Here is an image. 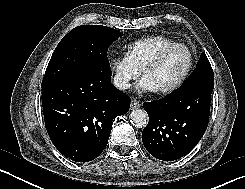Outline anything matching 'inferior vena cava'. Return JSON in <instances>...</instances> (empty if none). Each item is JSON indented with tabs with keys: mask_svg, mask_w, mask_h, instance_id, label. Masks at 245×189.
Returning <instances> with one entry per match:
<instances>
[{
	"mask_svg": "<svg viewBox=\"0 0 245 189\" xmlns=\"http://www.w3.org/2000/svg\"><path fill=\"white\" fill-rule=\"evenodd\" d=\"M114 84L116 87L123 90L128 89L129 87L128 82L123 77H119V76H116L114 78Z\"/></svg>",
	"mask_w": 245,
	"mask_h": 189,
	"instance_id": "602c4592",
	"label": "inferior vena cava"
}]
</instances>
